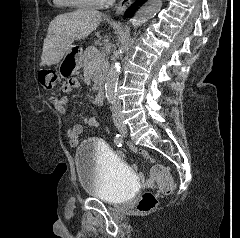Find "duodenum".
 <instances>
[{"instance_id": "duodenum-1", "label": "duodenum", "mask_w": 240, "mask_h": 238, "mask_svg": "<svg viewBox=\"0 0 240 238\" xmlns=\"http://www.w3.org/2000/svg\"><path fill=\"white\" fill-rule=\"evenodd\" d=\"M104 96H105V89L103 86H101L98 91H97V94L95 96V102L96 103H101L104 99Z\"/></svg>"}]
</instances>
